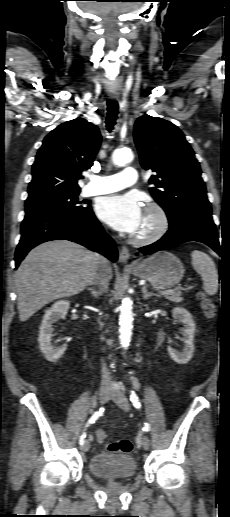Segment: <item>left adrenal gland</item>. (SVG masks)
<instances>
[{"label":"left adrenal gland","instance_id":"obj_1","mask_svg":"<svg viewBox=\"0 0 230 517\" xmlns=\"http://www.w3.org/2000/svg\"><path fill=\"white\" fill-rule=\"evenodd\" d=\"M142 293H143V299H145V300L152 296H156V294L148 292L146 287H142Z\"/></svg>","mask_w":230,"mask_h":517}]
</instances>
